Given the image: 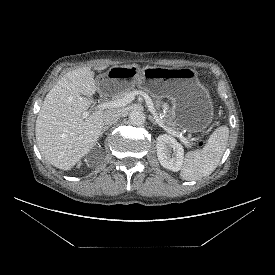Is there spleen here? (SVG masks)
I'll use <instances>...</instances> for the list:
<instances>
[{"instance_id": "spleen-1", "label": "spleen", "mask_w": 275, "mask_h": 275, "mask_svg": "<svg viewBox=\"0 0 275 275\" xmlns=\"http://www.w3.org/2000/svg\"><path fill=\"white\" fill-rule=\"evenodd\" d=\"M229 137L227 126L218 127L201 150L188 152L180 176L183 180H199L209 176L217 168L226 149Z\"/></svg>"}]
</instances>
